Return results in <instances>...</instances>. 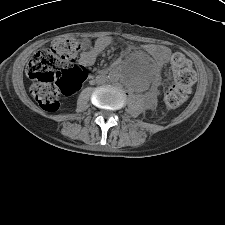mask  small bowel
Segmentation results:
<instances>
[{
	"label": "small bowel",
	"mask_w": 225,
	"mask_h": 225,
	"mask_svg": "<svg viewBox=\"0 0 225 225\" xmlns=\"http://www.w3.org/2000/svg\"><path fill=\"white\" fill-rule=\"evenodd\" d=\"M112 43V38L109 36H100L98 37L93 46L85 50L81 54L80 62L85 66H91L95 63L97 57L103 52V50ZM146 51L150 53L153 57L154 64L156 68H159L165 64L170 58V50L165 46H147ZM133 52L127 50L125 52V57L132 55Z\"/></svg>",
	"instance_id": "1"
}]
</instances>
